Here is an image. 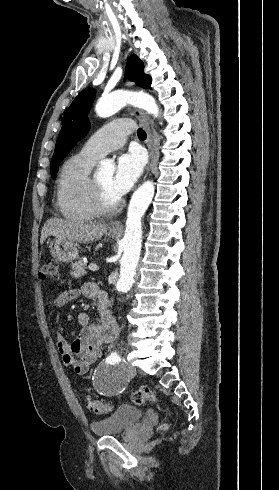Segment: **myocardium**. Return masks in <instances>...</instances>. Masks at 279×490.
Listing matches in <instances>:
<instances>
[{
	"mask_svg": "<svg viewBox=\"0 0 279 490\" xmlns=\"http://www.w3.org/2000/svg\"><path fill=\"white\" fill-rule=\"evenodd\" d=\"M93 184V204L97 213L107 215L116 212L121 206V201L117 198L110 199L105 189L97 181H93Z\"/></svg>",
	"mask_w": 279,
	"mask_h": 490,
	"instance_id": "myocardium-1",
	"label": "myocardium"
}]
</instances>
